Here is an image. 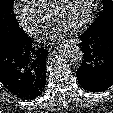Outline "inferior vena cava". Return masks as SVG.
Instances as JSON below:
<instances>
[{"label": "inferior vena cava", "instance_id": "1", "mask_svg": "<svg viewBox=\"0 0 113 113\" xmlns=\"http://www.w3.org/2000/svg\"><path fill=\"white\" fill-rule=\"evenodd\" d=\"M28 33H29L31 36L37 35L38 33H40V26L37 25V24H36V25H33V26L29 29Z\"/></svg>", "mask_w": 113, "mask_h": 113}]
</instances>
